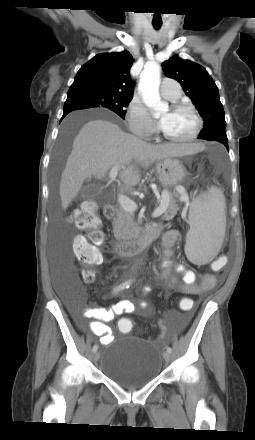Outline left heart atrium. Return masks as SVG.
Listing matches in <instances>:
<instances>
[{
	"label": "left heart atrium",
	"mask_w": 255,
	"mask_h": 440,
	"mask_svg": "<svg viewBox=\"0 0 255 440\" xmlns=\"http://www.w3.org/2000/svg\"><path fill=\"white\" fill-rule=\"evenodd\" d=\"M164 126H165V121L160 120V121H159V127H160L161 129H163Z\"/></svg>",
	"instance_id": "left-heart-atrium-1"
}]
</instances>
